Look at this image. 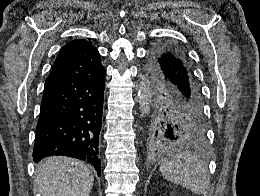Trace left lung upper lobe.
<instances>
[{
	"label": "left lung upper lobe",
	"instance_id": "left-lung-upper-lobe-1",
	"mask_svg": "<svg viewBox=\"0 0 260 196\" xmlns=\"http://www.w3.org/2000/svg\"><path fill=\"white\" fill-rule=\"evenodd\" d=\"M148 109L143 143L158 151L206 141L207 121L200 87L187 53L172 43H161L149 51Z\"/></svg>",
	"mask_w": 260,
	"mask_h": 196
}]
</instances>
